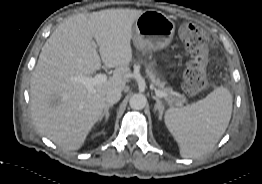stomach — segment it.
Returning a JSON list of instances; mask_svg holds the SVG:
<instances>
[{
	"instance_id": "1",
	"label": "stomach",
	"mask_w": 262,
	"mask_h": 184,
	"mask_svg": "<svg viewBox=\"0 0 262 184\" xmlns=\"http://www.w3.org/2000/svg\"><path fill=\"white\" fill-rule=\"evenodd\" d=\"M175 23L164 13L156 10L144 11L133 26V43L136 48L157 51L171 43Z\"/></svg>"
}]
</instances>
